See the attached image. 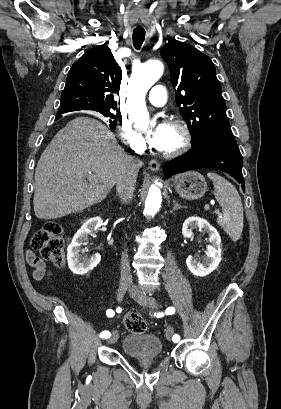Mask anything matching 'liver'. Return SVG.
<instances>
[{
  "label": "liver",
  "instance_id": "obj_1",
  "mask_svg": "<svg viewBox=\"0 0 281 409\" xmlns=\"http://www.w3.org/2000/svg\"><path fill=\"white\" fill-rule=\"evenodd\" d=\"M131 158L95 118L77 116L61 128L35 168L37 219H59L102 202Z\"/></svg>",
  "mask_w": 281,
  "mask_h": 409
}]
</instances>
